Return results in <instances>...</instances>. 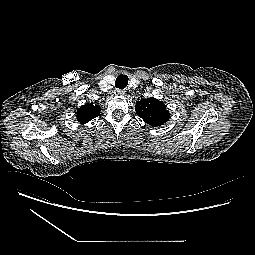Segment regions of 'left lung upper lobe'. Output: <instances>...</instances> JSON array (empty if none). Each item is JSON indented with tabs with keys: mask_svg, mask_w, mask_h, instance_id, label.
<instances>
[{
	"mask_svg": "<svg viewBox=\"0 0 255 255\" xmlns=\"http://www.w3.org/2000/svg\"><path fill=\"white\" fill-rule=\"evenodd\" d=\"M135 111L146 123L154 127L163 125L170 117L166 105L155 98L137 101Z\"/></svg>",
	"mask_w": 255,
	"mask_h": 255,
	"instance_id": "1",
	"label": "left lung upper lobe"
}]
</instances>
